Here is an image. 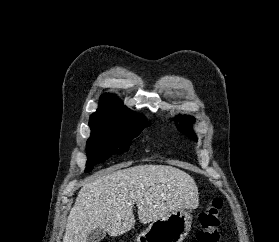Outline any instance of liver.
<instances>
[{
  "mask_svg": "<svg viewBox=\"0 0 279 242\" xmlns=\"http://www.w3.org/2000/svg\"><path fill=\"white\" fill-rule=\"evenodd\" d=\"M130 165L102 170L87 180L69 213L63 242H86L96 228L111 236L126 233L135 225V203L144 224L198 207V188L188 173L169 165Z\"/></svg>",
  "mask_w": 279,
  "mask_h": 242,
  "instance_id": "liver-1",
  "label": "liver"
}]
</instances>
